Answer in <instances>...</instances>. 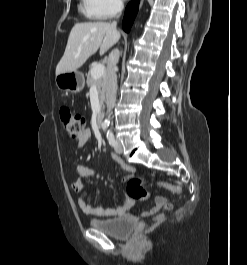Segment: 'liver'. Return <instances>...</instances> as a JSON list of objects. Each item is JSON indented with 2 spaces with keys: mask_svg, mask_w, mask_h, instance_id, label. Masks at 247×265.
<instances>
[{
  "mask_svg": "<svg viewBox=\"0 0 247 265\" xmlns=\"http://www.w3.org/2000/svg\"><path fill=\"white\" fill-rule=\"evenodd\" d=\"M120 39L116 27L106 22L76 23L69 35L56 75L79 69L100 48L103 55Z\"/></svg>",
  "mask_w": 247,
  "mask_h": 265,
  "instance_id": "obj_1",
  "label": "liver"
}]
</instances>
